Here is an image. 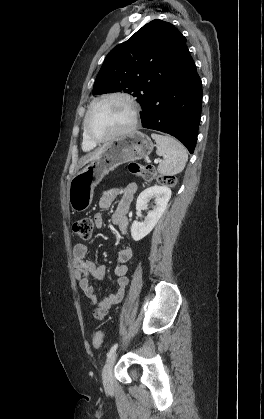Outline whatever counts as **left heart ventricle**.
Instances as JSON below:
<instances>
[{
  "label": "left heart ventricle",
  "mask_w": 264,
  "mask_h": 419,
  "mask_svg": "<svg viewBox=\"0 0 264 419\" xmlns=\"http://www.w3.org/2000/svg\"><path fill=\"white\" fill-rule=\"evenodd\" d=\"M132 109L122 98H110L98 103L89 118V130L98 138L107 137L127 127Z\"/></svg>",
  "instance_id": "obj_1"
}]
</instances>
